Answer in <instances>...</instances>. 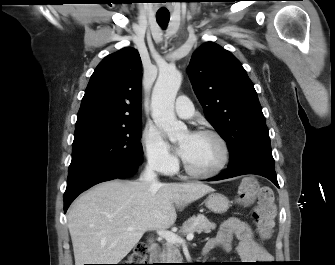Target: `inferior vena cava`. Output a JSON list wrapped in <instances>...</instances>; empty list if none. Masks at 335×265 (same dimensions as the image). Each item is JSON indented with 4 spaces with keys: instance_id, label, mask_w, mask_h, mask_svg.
Masks as SVG:
<instances>
[{
    "instance_id": "602c4592",
    "label": "inferior vena cava",
    "mask_w": 335,
    "mask_h": 265,
    "mask_svg": "<svg viewBox=\"0 0 335 265\" xmlns=\"http://www.w3.org/2000/svg\"><path fill=\"white\" fill-rule=\"evenodd\" d=\"M140 180L145 181L152 186H158L160 183L157 180V175L154 172V167L151 162H148L145 170L143 171Z\"/></svg>"
}]
</instances>
